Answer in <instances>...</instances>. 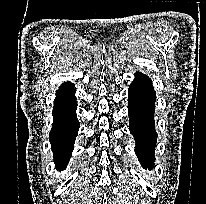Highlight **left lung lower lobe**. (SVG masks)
<instances>
[{
  "mask_svg": "<svg viewBox=\"0 0 206 204\" xmlns=\"http://www.w3.org/2000/svg\"><path fill=\"white\" fill-rule=\"evenodd\" d=\"M128 93L129 129L136 141L135 153L143 168L151 170L157 142L154 121L156 94L151 79L137 72Z\"/></svg>",
  "mask_w": 206,
  "mask_h": 204,
  "instance_id": "1",
  "label": "left lung lower lobe"
}]
</instances>
